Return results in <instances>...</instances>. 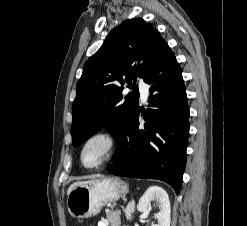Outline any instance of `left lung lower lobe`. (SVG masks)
<instances>
[{
    "instance_id": "0a47b994",
    "label": "left lung lower lobe",
    "mask_w": 247,
    "mask_h": 226,
    "mask_svg": "<svg viewBox=\"0 0 247 226\" xmlns=\"http://www.w3.org/2000/svg\"><path fill=\"white\" fill-rule=\"evenodd\" d=\"M144 82L150 85L145 125L139 126L138 107L120 130L113 163L114 175L158 179L179 193L186 164L189 135V108L182 69L166 44Z\"/></svg>"
}]
</instances>
